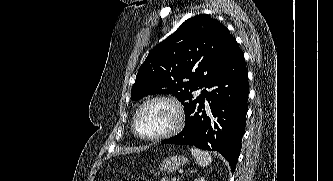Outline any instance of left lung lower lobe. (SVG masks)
Masks as SVG:
<instances>
[{
  "mask_svg": "<svg viewBox=\"0 0 333 181\" xmlns=\"http://www.w3.org/2000/svg\"><path fill=\"white\" fill-rule=\"evenodd\" d=\"M205 87L209 90H203L197 106L186 113L184 129L161 143L217 151L228 160L234 171L242 147L248 109L247 69L240 49ZM205 98L210 105L208 115L204 109Z\"/></svg>",
  "mask_w": 333,
  "mask_h": 181,
  "instance_id": "1",
  "label": "left lung lower lobe"
}]
</instances>
